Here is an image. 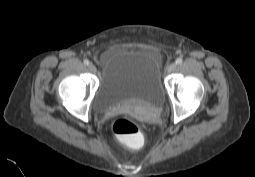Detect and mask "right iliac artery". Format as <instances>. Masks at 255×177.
Listing matches in <instances>:
<instances>
[{"label": "right iliac artery", "mask_w": 255, "mask_h": 177, "mask_svg": "<svg viewBox=\"0 0 255 177\" xmlns=\"http://www.w3.org/2000/svg\"><path fill=\"white\" fill-rule=\"evenodd\" d=\"M89 63H90L89 60H87V59L84 60V64H85L86 66H88Z\"/></svg>", "instance_id": "right-iliac-artery-1"}]
</instances>
